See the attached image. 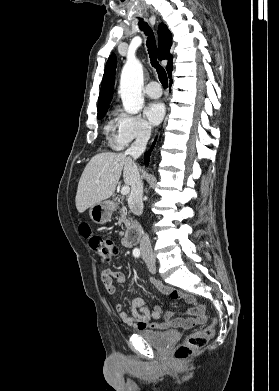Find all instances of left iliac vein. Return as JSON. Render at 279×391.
<instances>
[{"label":"left iliac vein","mask_w":279,"mask_h":391,"mask_svg":"<svg viewBox=\"0 0 279 391\" xmlns=\"http://www.w3.org/2000/svg\"><path fill=\"white\" fill-rule=\"evenodd\" d=\"M148 265V269L149 271L152 273V274H155L156 273V266L155 264H147Z\"/></svg>","instance_id":"left-iliac-vein-1"}]
</instances>
